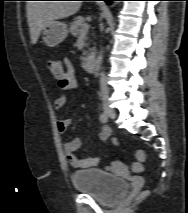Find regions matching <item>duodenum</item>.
<instances>
[{
    "label": "duodenum",
    "instance_id": "1",
    "mask_svg": "<svg viewBox=\"0 0 188 213\" xmlns=\"http://www.w3.org/2000/svg\"><path fill=\"white\" fill-rule=\"evenodd\" d=\"M85 70L89 73H93L95 71L96 63L93 58L87 59L84 63Z\"/></svg>",
    "mask_w": 188,
    "mask_h": 213
}]
</instances>
